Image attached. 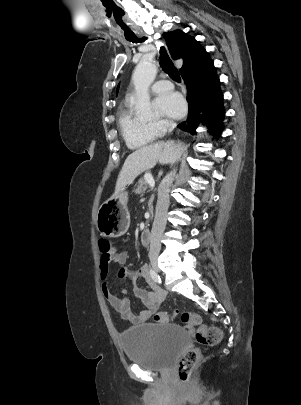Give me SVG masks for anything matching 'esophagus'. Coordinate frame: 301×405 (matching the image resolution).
Segmentation results:
<instances>
[{
	"instance_id": "esophagus-1",
	"label": "esophagus",
	"mask_w": 301,
	"mask_h": 405,
	"mask_svg": "<svg viewBox=\"0 0 301 405\" xmlns=\"http://www.w3.org/2000/svg\"><path fill=\"white\" fill-rule=\"evenodd\" d=\"M139 35H140V36H143V37H145V36H146V34H145V33H143V32H141Z\"/></svg>"
}]
</instances>
